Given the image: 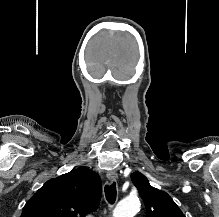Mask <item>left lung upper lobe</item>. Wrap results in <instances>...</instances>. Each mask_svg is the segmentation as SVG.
Wrapping results in <instances>:
<instances>
[{
  "instance_id": "1",
  "label": "left lung upper lobe",
  "mask_w": 219,
  "mask_h": 217,
  "mask_svg": "<svg viewBox=\"0 0 219 217\" xmlns=\"http://www.w3.org/2000/svg\"><path fill=\"white\" fill-rule=\"evenodd\" d=\"M131 179L145 203L146 217H185L172 198L166 192L152 187L142 173H132Z\"/></svg>"
}]
</instances>
